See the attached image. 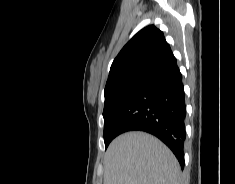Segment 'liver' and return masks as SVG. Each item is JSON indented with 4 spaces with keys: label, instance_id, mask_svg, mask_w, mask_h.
I'll return each instance as SVG.
<instances>
[{
    "label": "liver",
    "instance_id": "liver-1",
    "mask_svg": "<svg viewBox=\"0 0 235 184\" xmlns=\"http://www.w3.org/2000/svg\"><path fill=\"white\" fill-rule=\"evenodd\" d=\"M104 184H181L174 154L145 132H127L111 142L104 160Z\"/></svg>",
    "mask_w": 235,
    "mask_h": 184
}]
</instances>
